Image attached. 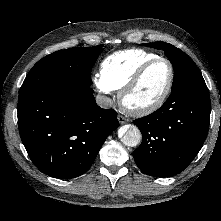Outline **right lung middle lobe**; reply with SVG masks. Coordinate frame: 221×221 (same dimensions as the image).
<instances>
[{
	"label": "right lung middle lobe",
	"instance_id": "obj_1",
	"mask_svg": "<svg viewBox=\"0 0 221 221\" xmlns=\"http://www.w3.org/2000/svg\"><path fill=\"white\" fill-rule=\"evenodd\" d=\"M102 47L70 48L45 56L28 73L19 95L40 90L90 88L91 70Z\"/></svg>",
	"mask_w": 221,
	"mask_h": 221
}]
</instances>
